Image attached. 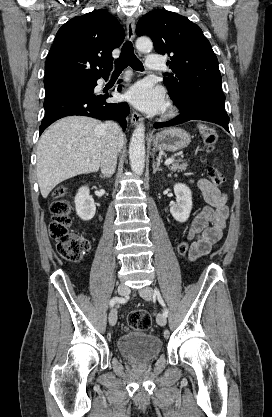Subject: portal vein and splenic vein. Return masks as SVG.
<instances>
[{"label": "portal vein and splenic vein", "instance_id": "portal-vein-and-splenic-vein-1", "mask_svg": "<svg viewBox=\"0 0 272 417\" xmlns=\"http://www.w3.org/2000/svg\"><path fill=\"white\" fill-rule=\"evenodd\" d=\"M87 161H89V159H87ZM173 162H174V159L173 158H170V159H167L164 164L166 166H168V165L172 164Z\"/></svg>", "mask_w": 272, "mask_h": 417}]
</instances>
